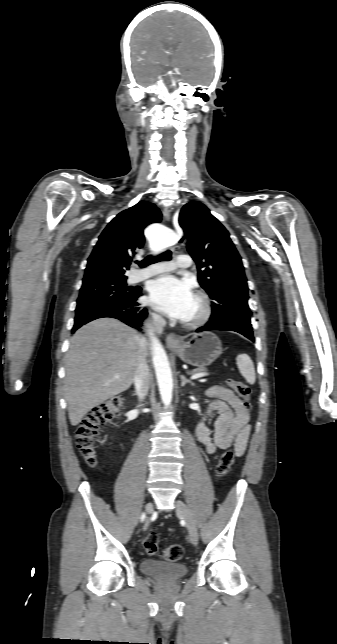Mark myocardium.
<instances>
[{"instance_id": "f54148a6", "label": "myocardium", "mask_w": 337, "mask_h": 644, "mask_svg": "<svg viewBox=\"0 0 337 644\" xmlns=\"http://www.w3.org/2000/svg\"><path fill=\"white\" fill-rule=\"evenodd\" d=\"M194 297L199 303V311L193 318L182 320V325L187 328L203 326L212 315V303L209 295L205 291L198 290L195 292Z\"/></svg>"}]
</instances>
